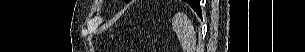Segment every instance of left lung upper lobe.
Here are the masks:
<instances>
[{"mask_svg": "<svg viewBox=\"0 0 305 52\" xmlns=\"http://www.w3.org/2000/svg\"><path fill=\"white\" fill-rule=\"evenodd\" d=\"M195 1H196V0H187L186 2H187L189 5H195Z\"/></svg>", "mask_w": 305, "mask_h": 52, "instance_id": "1", "label": "left lung upper lobe"}]
</instances>
